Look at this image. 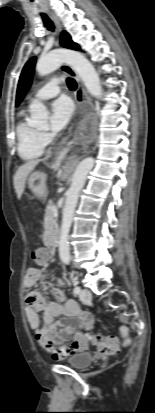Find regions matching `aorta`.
<instances>
[{"label":"aorta","mask_w":155,"mask_h":413,"mask_svg":"<svg viewBox=\"0 0 155 413\" xmlns=\"http://www.w3.org/2000/svg\"><path fill=\"white\" fill-rule=\"evenodd\" d=\"M62 63H68L81 78L87 91L96 98L102 97V86L100 78L92 63L81 53L57 49L47 55L41 56L36 65L39 75L45 76L55 71ZM31 124L41 126L47 123L48 111L46 107L38 101L31 103L30 107ZM95 160L92 157L83 159L77 166L71 180V185L66 192L65 206L61 224L59 240V256L63 263L70 262L69 231L72 225L75 208L78 203L79 193L82 190L88 173L94 167Z\"/></svg>","instance_id":"aorta-1"}]
</instances>
